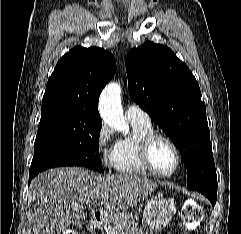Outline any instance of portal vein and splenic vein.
<instances>
[{
  "instance_id": "1",
  "label": "portal vein and splenic vein",
  "mask_w": 241,
  "mask_h": 234,
  "mask_svg": "<svg viewBox=\"0 0 241 234\" xmlns=\"http://www.w3.org/2000/svg\"><path fill=\"white\" fill-rule=\"evenodd\" d=\"M106 197H102L101 198V203H103V201H105Z\"/></svg>"
}]
</instances>
